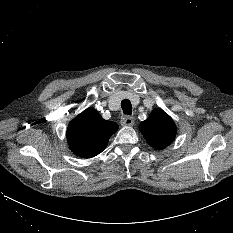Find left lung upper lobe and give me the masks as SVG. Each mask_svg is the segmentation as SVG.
<instances>
[{"label": "left lung upper lobe", "instance_id": "1", "mask_svg": "<svg viewBox=\"0 0 233 233\" xmlns=\"http://www.w3.org/2000/svg\"><path fill=\"white\" fill-rule=\"evenodd\" d=\"M139 129L148 144L157 150H162L171 144L177 132L172 118L161 109H155L145 121L141 122Z\"/></svg>", "mask_w": 233, "mask_h": 233}]
</instances>
